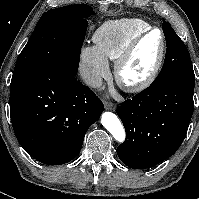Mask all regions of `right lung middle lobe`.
I'll list each match as a JSON object with an SVG mask.
<instances>
[{
	"instance_id": "1",
	"label": "right lung middle lobe",
	"mask_w": 199,
	"mask_h": 199,
	"mask_svg": "<svg viewBox=\"0 0 199 199\" xmlns=\"http://www.w3.org/2000/svg\"><path fill=\"white\" fill-rule=\"evenodd\" d=\"M93 14L86 4L45 12L17 59L10 89L50 67H60L76 75L87 30L86 18Z\"/></svg>"
}]
</instances>
